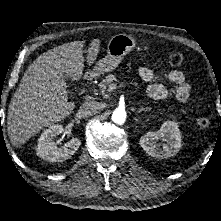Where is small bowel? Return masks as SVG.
I'll use <instances>...</instances> for the list:
<instances>
[{
  "instance_id": "obj_1",
  "label": "small bowel",
  "mask_w": 221,
  "mask_h": 221,
  "mask_svg": "<svg viewBox=\"0 0 221 221\" xmlns=\"http://www.w3.org/2000/svg\"><path fill=\"white\" fill-rule=\"evenodd\" d=\"M138 73L140 78L146 82H155L159 78L158 74L147 67L139 68ZM164 77L174 85L168 88L160 83H152L147 88L148 96L155 100L174 96L177 101L186 104L189 100L191 85L186 80L185 75L181 71L173 70L165 74Z\"/></svg>"
}]
</instances>
